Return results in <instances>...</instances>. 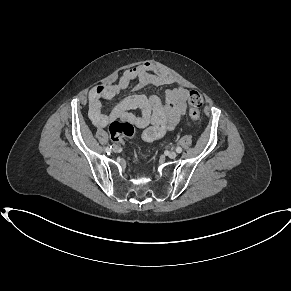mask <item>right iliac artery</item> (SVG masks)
Segmentation results:
<instances>
[{"mask_svg":"<svg viewBox=\"0 0 291 291\" xmlns=\"http://www.w3.org/2000/svg\"><path fill=\"white\" fill-rule=\"evenodd\" d=\"M111 148H112V146L107 147V148H106V152H107V153H110V152H111Z\"/></svg>","mask_w":291,"mask_h":291,"instance_id":"82829eb1","label":"right iliac artery"}]
</instances>
